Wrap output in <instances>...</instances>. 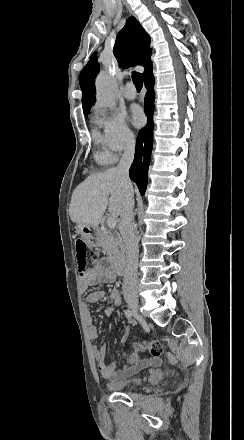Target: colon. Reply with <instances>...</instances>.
I'll list each match as a JSON object with an SVG mask.
<instances>
[{
    "label": "colon",
    "mask_w": 244,
    "mask_h": 440,
    "mask_svg": "<svg viewBox=\"0 0 244 440\" xmlns=\"http://www.w3.org/2000/svg\"><path fill=\"white\" fill-rule=\"evenodd\" d=\"M76 246L77 270L80 275L85 271L99 263V255L95 250H89L86 242L78 240ZM143 350L153 357H161L164 354V347L160 341L147 340L142 344Z\"/></svg>",
    "instance_id": "1"
}]
</instances>
